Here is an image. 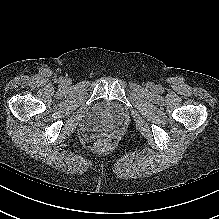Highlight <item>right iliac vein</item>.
Here are the masks:
<instances>
[{"label": "right iliac vein", "instance_id": "1", "mask_svg": "<svg viewBox=\"0 0 219 219\" xmlns=\"http://www.w3.org/2000/svg\"><path fill=\"white\" fill-rule=\"evenodd\" d=\"M61 83H62L63 85H65V84L67 83V81H66V80H62Z\"/></svg>", "mask_w": 219, "mask_h": 219}]
</instances>
